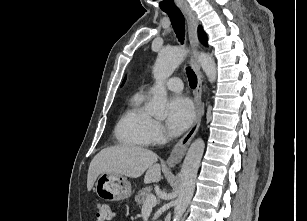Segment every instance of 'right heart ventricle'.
I'll list each match as a JSON object with an SVG mask.
<instances>
[{
    "label": "right heart ventricle",
    "instance_id": "right-heart-ventricle-1",
    "mask_svg": "<svg viewBox=\"0 0 307 221\" xmlns=\"http://www.w3.org/2000/svg\"><path fill=\"white\" fill-rule=\"evenodd\" d=\"M154 120L143 108V97L137 94L131 98L115 127L118 143L131 147H147L153 143Z\"/></svg>",
    "mask_w": 307,
    "mask_h": 221
}]
</instances>
